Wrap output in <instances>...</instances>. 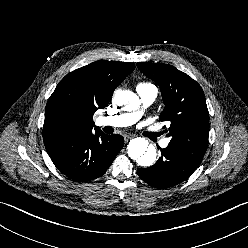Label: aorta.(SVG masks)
I'll list each match as a JSON object with an SVG mask.
<instances>
[{"label": "aorta", "instance_id": "obj_1", "mask_svg": "<svg viewBox=\"0 0 248 248\" xmlns=\"http://www.w3.org/2000/svg\"><path fill=\"white\" fill-rule=\"evenodd\" d=\"M115 102L127 111L136 110L140 105L139 97L128 90L118 91L115 95ZM127 153L131 159L136 160L143 167L151 166L156 159L155 148L150 147L148 141L141 137L134 138L129 142Z\"/></svg>", "mask_w": 248, "mask_h": 248}]
</instances>
